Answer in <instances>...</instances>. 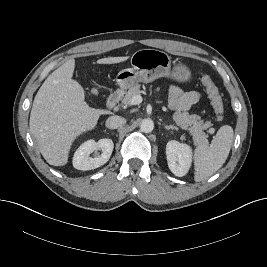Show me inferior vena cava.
Returning a JSON list of instances; mask_svg holds the SVG:
<instances>
[{"mask_svg": "<svg viewBox=\"0 0 267 267\" xmlns=\"http://www.w3.org/2000/svg\"><path fill=\"white\" fill-rule=\"evenodd\" d=\"M126 123V119L121 116H111L106 120V127L109 129H117L118 127L124 125Z\"/></svg>", "mask_w": 267, "mask_h": 267, "instance_id": "1", "label": "inferior vena cava"}]
</instances>
